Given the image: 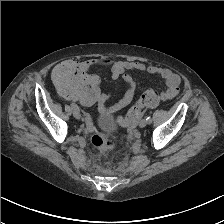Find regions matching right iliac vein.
I'll list each match as a JSON object with an SVG mask.
<instances>
[{
  "label": "right iliac vein",
  "instance_id": "right-iliac-vein-1",
  "mask_svg": "<svg viewBox=\"0 0 224 224\" xmlns=\"http://www.w3.org/2000/svg\"><path fill=\"white\" fill-rule=\"evenodd\" d=\"M73 116L76 118V119H80L81 118V114L79 111L77 110H73Z\"/></svg>",
  "mask_w": 224,
  "mask_h": 224
}]
</instances>
